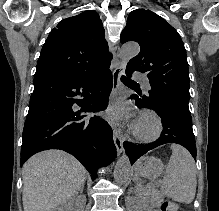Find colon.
Instances as JSON below:
<instances>
[{"label":"colon","instance_id":"5ec220e1","mask_svg":"<svg viewBox=\"0 0 219 211\" xmlns=\"http://www.w3.org/2000/svg\"><path fill=\"white\" fill-rule=\"evenodd\" d=\"M161 211H178V206L170 201H163L160 205Z\"/></svg>","mask_w":219,"mask_h":211}]
</instances>
